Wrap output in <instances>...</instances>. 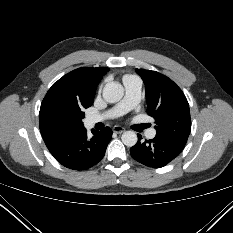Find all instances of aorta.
<instances>
[{
    "label": "aorta",
    "instance_id": "obj_1",
    "mask_svg": "<svg viewBox=\"0 0 233 233\" xmlns=\"http://www.w3.org/2000/svg\"><path fill=\"white\" fill-rule=\"evenodd\" d=\"M124 95V88L120 83L109 82L103 88V98L106 102L116 103L122 99ZM122 142L128 146L132 147L137 143V135L134 131H125L122 134Z\"/></svg>",
    "mask_w": 233,
    "mask_h": 233
}]
</instances>
